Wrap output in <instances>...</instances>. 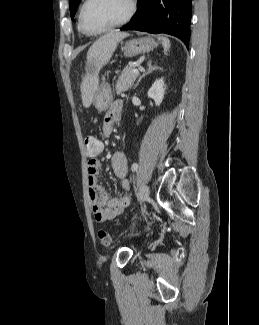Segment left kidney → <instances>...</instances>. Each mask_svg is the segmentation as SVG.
<instances>
[{"instance_id": "obj_1", "label": "left kidney", "mask_w": 259, "mask_h": 325, "mask_svg": "<svg viewBox=\"0 0 259 325\" xmlns=\"http://www.w3.org/2000/svg\"><path fill=\"white\" fill-rule=\"evenodd\" d=\"M165 84L163 78L157 79L148 91V97L155 101V104L159 106L164 98Z\"/></svg>"}]
</instances>
